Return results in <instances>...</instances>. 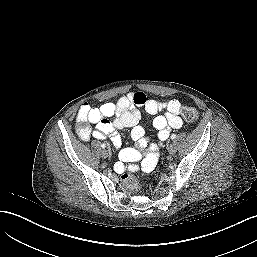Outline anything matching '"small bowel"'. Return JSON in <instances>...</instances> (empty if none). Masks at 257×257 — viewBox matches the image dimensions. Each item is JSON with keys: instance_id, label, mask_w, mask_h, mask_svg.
Returning <instances> with one entry per match:
<instances>
[{"instance_id": "small-bowel-1", "label": "small bowel", "mask_w": 257, "mask_h": 257, "mask_svg": "<svg viewBox=\"0 0 257 257\" xmlns=\"http://www.w3.org/2000/svg\"><path fill=\"white\" fill-rule=\"evenodd\" d=\"M140 108L149 114L164 112L156 116L152 123L159 131L160 141H165L172 130H178L183 125L180 117L181 104L178 100L148 99L142 92H130L115 103L105 102L98 107L88 104L82 106L77 115L78 136L84 141L91 137L104 139L109 136L112 143L120 148L122 140L118 130L130 128L131 138L135 141L136 148L121 149L120 156L132 165L140 161V168L143 171H151L159 157L158 144L150 143L145 136ZM83 110L87 111L86 115H83ZM116 168L123 170L124 166L117 164Z\"/></svg>"}]
</instances>
